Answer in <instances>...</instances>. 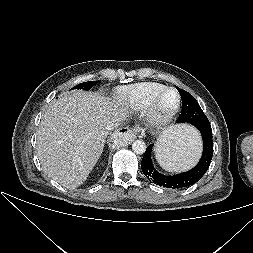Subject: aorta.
Wrapping results in <instances>:
<instances>
[{"label": "aorta", "instance_id": "762f6f07", "mask_svg": "<svg viewBox=\"0 0 253 253\" xmlns=\"http://www.w3.org/2000/svg\"><path fill=\"white\" fill-rule=\"evenodd\" d=\"M132 150L136 154H143L146 151V144L142 140H136L132 144Z\"/></svg>", "mask_w": 253, "mask_h": 253}]
</instances>
